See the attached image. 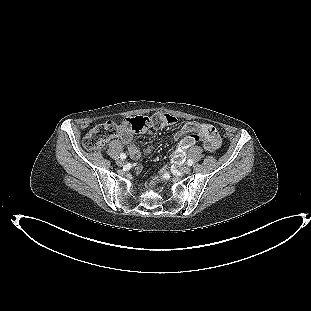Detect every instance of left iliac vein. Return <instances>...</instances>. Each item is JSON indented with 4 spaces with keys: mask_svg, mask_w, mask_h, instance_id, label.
<instances>
[{
    "mask_svg": "<svg viewBox=\"0 0 311 311\" xmlns=\"http://www.w3.org/2000/svg\"><path fill=\"white\" fill-rule=\"evenodd\" d=\"M190 171H191V167L190 166H183V167L180 168V172L182 174H188V173H190Z\"/></svg>",
    "mask_w": 311,
    "mask_h": 311,
    "instance_id": "1",
    "label": "left iliac vein"
}]
</instances>
